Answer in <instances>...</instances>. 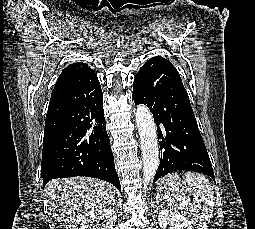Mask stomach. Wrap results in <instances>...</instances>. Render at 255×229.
<instances>
[{
	"label": "stomach",
	"instance_id": "stomach-1",
	"mask_svg": "<svg viewBox=\"0 0 255 229\" xmlns=\"http://www.w3.org/2000/svg\"><path fill=\"white\" fill-rule=\"evenodd\" d=\"M183 186V181H181L179 176L175 173L165 176L158 183L160 190L168 192L173 196L175 192H182L184 190Z\"/></svg>",
	"mask_w": 255,
	"mask_h": 229
}]
</instances>
